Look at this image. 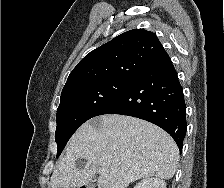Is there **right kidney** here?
Wrapping results in <instances>:
<instances>
[{
    "instance_id": "ca27d5eb",
    "label": "right kidney",
    "mask_w": 224,
    "mask_h": 188,
    "mask_svg": "<svg viewBox=\"0 0 224 188\" xmlns=\"http://www.w3.org/2000/svg\"><path fill=\"white\" fill-rule=\"evenodd\" d=\"M134 188H166V182L161 178H146L137 183Z\"/></svg>"
}]
</instances>
